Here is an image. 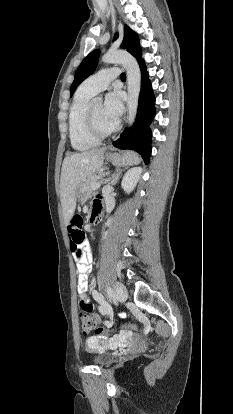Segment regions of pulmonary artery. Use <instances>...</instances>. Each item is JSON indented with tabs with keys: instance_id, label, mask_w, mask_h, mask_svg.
<instances>
[{
	"instance_id": "1",
	"label": "pulmonary artery",
	"mask_w": 233,
	"mask_h": 414,
	"mask_svg": "<svg viewBox=\"0 0 233 414\" xmlns=\"http://www.w3.org/2000/svg\"><path fill=\"white\" fill-rule=\"evenodd\" d=\"M119 76V70L115 67L106 68L88 77L80 85V89L94 96L105 90L111 81Z\"/></svg>"
}]
</instances>
